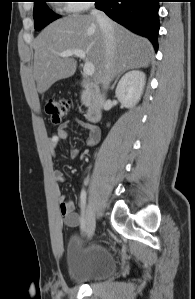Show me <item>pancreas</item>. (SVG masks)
Wrapping results in <instances>:
<instances>
[{"label":"pancreas","mask_w":195,"mask_h":299,"mask_svg":"<svg viewBox=\"0 0 195 299\" xmlns=\"http://www.w3.org/2000/svg\"><path fill=\"white\" fill-rule=\"evenodd\" d=\"M87 98H88V94L85 92L83 95H82V101L85 105H87Z\"/></svg>","instance_id":"obj_1"}]
</instances>
